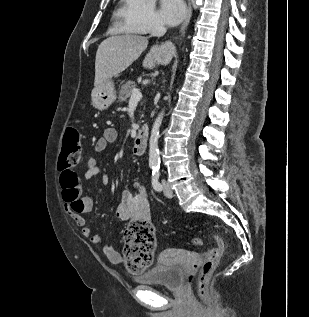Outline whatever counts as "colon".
<instances>
[{
    "label": "colon",
    "instance_id": "1",
    "mask_svg": "<svg viewBox=\"0 0 309 317\" xmlns=\"http://www.w3.org/2000/svg\"><path fill=\"white\" fill-rule=\"evenodd\" d=\"M81 156L80 133L75 127H68L64 133L63 146L58 168L61 171L60 181L65 184V173L71 170ZM215 246L210 249L204 258L197 278V292L200 298L207 296L208 283L220 258L226 249L224 239L219 234L211 235ZM123 256L127 268L132 273H141L147 270L153 261L157 241L152 223L146 219L131 220L124 231ZM193 244L200 246L202 240L194 238Z\"/></svg>",
    "mask_w": 309,
    "mask_h": 317
}]
</instances>
